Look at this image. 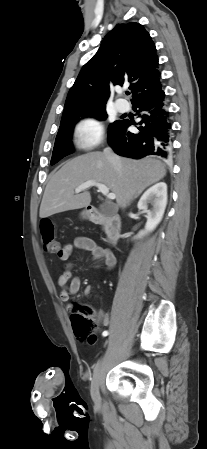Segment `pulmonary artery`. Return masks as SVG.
<instances>
[{"instance_id": "1", "label": "pulmonary artery", "mask_w": 207, "mask_h": 449, "mask_svg": "<svg viewBox=\"0 0 207 449\" xmlns=\"http://www.w3.org/2000/svg\"><path fill=\"white\" fill-rule=\"evenodd\" d=\"M115 106L118 111L125 112L128 110V103L125 100L118 99L115 101Z\"/></svg>"}]
</instances>
